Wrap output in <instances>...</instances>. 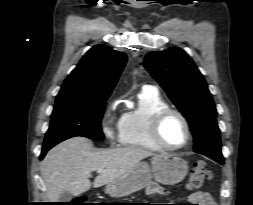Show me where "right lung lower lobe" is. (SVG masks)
<instances>
[{
  "instance_id": "obj_1",
  "label": "right lung lower lobe",
  "mask_w": 253,
  "mask_h": 205,
  "mask_svg": "<svg viewBox=\"0 0 253 205\" xmlns=\"http://www.w3.org/2000/svg\"><path fill=\"white\" fill-rule=\"evenodd\" d=\"M51 147H43L41 155H40V160L43 159V157L45 156V154L47 153V151L50 149Z\"/></svg>"
}]
</instances>
